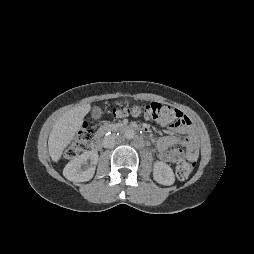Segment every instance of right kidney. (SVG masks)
<instances>
[{
    "instance_id": "1",
    "label": "right kidney",
    "mask_w": 254,
    "mask_h": 254,
    "mask_svg": "<svg viewBox=\"0 0 254 254\" xmlns=\"http://www.w3.org/2000/svg\"><path fill=\"white\" fill-rule=\"evenodd\" d=\"M96 151H87L75 157L64 168L63 175L72 182H86L92 179L98 162ZM90 162V164H89Z\"/></svg>"
}]
</instances>
